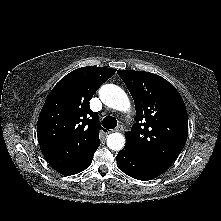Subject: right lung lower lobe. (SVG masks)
<instances>
[{"instance_id":"1","label":"right lung lower lobe","mask_w":221,"mask_h":221,"mask_svg":"<svg viewBox=\"0 0 221 221\" xmlns=\"http://www.w3.org/2000/svg\"><path fill=\"white\" fill-rule=\"evenodd\" d=\"M94 152L83 163H81L79 166H77L76 168L66 172L63 175H67V176L74 175V174H77V173L85 170L86 168H88L90 166L91 162H92V158H93Z\"/></svg>"}]
</instances>
